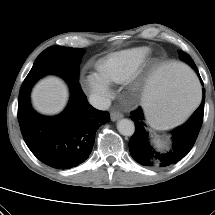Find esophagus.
Masks as SVG:
<instances>
[{"instance_id": "1", "label": "esophagus", "mask_w": 215, "mask_h": 215, "mask_svg": "<svg viewBox=\"0 0 215 215\" xmlns=\"http://www.w3.org/2000/svg\"><path fill=\"white\" fill-rule=\"evenodd\" d=\"M110 116H111V120H112V121H116V120L122 118V117H123V114L120 113V112H117V111H112V112L110 113Z\"/></svg>"}]
</instances>
